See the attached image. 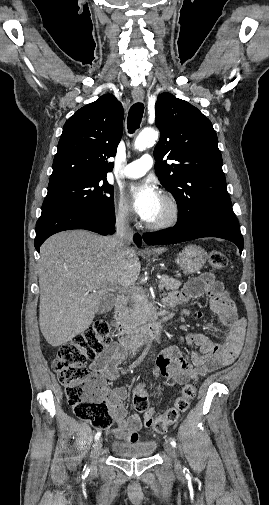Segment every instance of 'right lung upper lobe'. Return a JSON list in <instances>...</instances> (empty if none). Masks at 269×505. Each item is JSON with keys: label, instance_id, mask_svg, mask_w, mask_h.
<instances>
[{"label": "right lung upper lobe", "instance_id": "1", "mask_svg": "<svg viewBox=\"0 0 269 505\" xmlns=\"http://www.w3.org/2000/svg\"><path fill=\"white\" fill-rule=\"evenodd\" d=\"M124 112L112 94L85 105L63 127L48 188L106 179L123 132Z\"/></svg>", "mask_w": 269, "mask_h": 505}]
</instances>
